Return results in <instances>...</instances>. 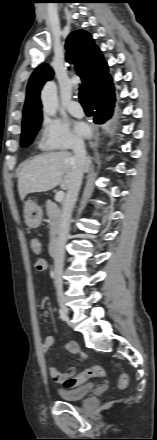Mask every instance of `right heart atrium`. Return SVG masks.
I'll use <instances>...</instances> for the list:
<instances>
[{
  "label": "right heart atrium",
  "mask_w": 157,
  "mask_h": 440,
  "mask_svg": "<svg viewBox=\"0 0 157 440\" xmlns=\"http://www.w3.org/2000/svg\"><path fill=\"white\" fill-rule=\"evenodd\" d=\"M82 140L70 129L67 122L56 118H45L41 126L40 146L45 150H61L77 147Z\"/></svg>",
  "instance_id": "d8ad5b80"
}]
</instances>
